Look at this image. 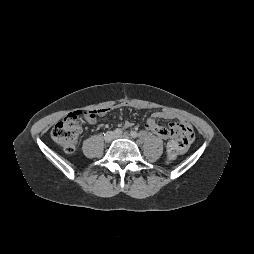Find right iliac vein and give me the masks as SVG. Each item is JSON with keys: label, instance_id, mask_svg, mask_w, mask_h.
I'll list each match as a JSON object with an SVG mask.
<instances>
[{"label": "right iliac vein", "instance_id": "obj_1", "mask_svg": "<svg viewBox=\"0 0 254 254\" xmlns=\"http://www.w3.org/2000/svg\"><path fill=\"white\" fill-rule=\"evenodd\" d=\"M114 137H115L114 132L109 131V132H107V133L105 134L104 139H105L106 142H110V141L113 140Z\"/></svg>", "mask_w": 254, "mask_h": 254}]
</instances>
